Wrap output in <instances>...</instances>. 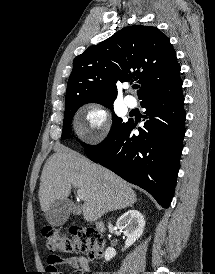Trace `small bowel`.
Segmentation results:
<instances>
[{
	"label": "small bowel",
	"instance_id": "small-bowel-1",
	"mask_svg": "<svg viewBox=\"0 0 215 274\" xmlns=\"http://www.w3.org/2000/svg\"><path fill=\"white\" fill-rule=\"evenodd\" d=\"M60 266H70L78 270L79 274H107L105 272H92L88 259L83 255L60 257L50 255L47 259L46 272L49 274H64L59 271Z\"/></svg>",
	"mask_w": 215,
	"mask_h": 274
}]
</instances>
